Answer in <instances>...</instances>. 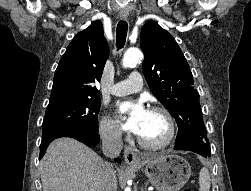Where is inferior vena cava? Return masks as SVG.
Wrapping results in <instances>:
<instances>
[{"instance_id":"602c4592","label":"inferior vena cava","mask_w":251,"mask_h":191,"mask_svg":"<svg viewBox=\"0 0 251 191\" xmlns=\"http://www.w3.org/2000/svg\"><path fill=\"white\" fill-rule=\"evenodd\" d=\"M122 133L121 125H116V123L103 131L102 149L104 155H107V157H118L123 145ZM107 179H109L110 183H114L116 181L115 171L109 173Z\"/></svg>"}]
</instances>
